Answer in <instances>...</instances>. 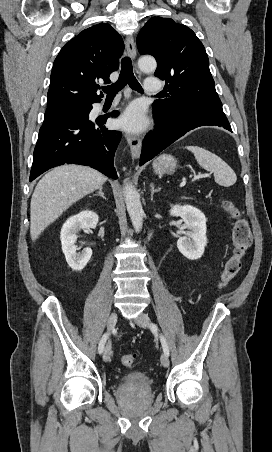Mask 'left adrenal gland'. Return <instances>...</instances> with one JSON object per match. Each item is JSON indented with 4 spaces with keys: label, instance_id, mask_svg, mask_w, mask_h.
<instances>
[{
    "label": "left adrenal gland",
    "instance_id": "obj_1",
    "mask_svg": "<svg viewBox=\"0 0 272 452\" xmlns=\"http://www.w3.org/2000/svg\"><path fill=\"white\" fill-rule=\"evenodd\" d=\"M161 190V188H155L153 183H150V192H151V201H153V195L154 193H157Z\"/></svg>",
    "mask_w": 272,
    "mask_h": 452
}]
</instances>
